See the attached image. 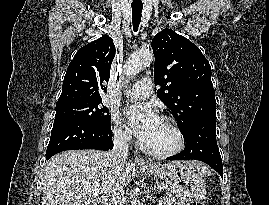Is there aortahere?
Instances as JSON below:
<instances>
[{
	"label": "aorta",
	"mask_w": 269,
	"mask_h": 205,
	"mask_svg": "<svg viewBox=\"0 0 269 205\" xmlns=\"http://www.w3.org/2000/svg\"><path fill=\"white\" fill-rule=\"evenodd\" d=\"M153 58V53L149 50H141L133 53L126 62L125 74L127 76L138 74L144 67L150 65ZM127 205H136L135 196L129 198Z\"/></svg>",
	"instance_id": "762f6f07"
}]
</instances>
